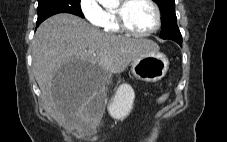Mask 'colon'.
<instances>
[{
	"label": "colon",
	"mask_w": 227,
	"mask_h": 142,
	"mask_svg": "<svg viewBox=\"0 0 227 142\" xmlns=\"http://www.w3.org/2000/svg\"><path fill=\"white\" fill-rule=\"evenodd\" d=\"M167 98H168V94L166 93V94L162 95V96L158 99L157 103H158V104H162V103H164V102L166 101Z\"/></svg>",
	"instance_id": "colon-1"
}]
</instances>
